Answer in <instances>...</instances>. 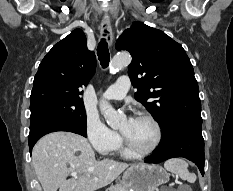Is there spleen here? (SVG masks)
<instances>
[{
  "label": "spleen",
  "mask_w": 233,
  "mask_h": 191,
  "mask_svg": "<svg viewBox=\"0 0 233 191\" xmlns=\"http://www.w3.org/2000/svg\"><path fill=\"white\" fill-rule=\"evenodd\" d=\"M164 167L171 173L179 175L182 180H186L190 183H194L196 181V175L188 171L187 162L180 158H173L166 161Z\"/></svg>",
  "instance_id": "spleen-1"
}]
</instances>
